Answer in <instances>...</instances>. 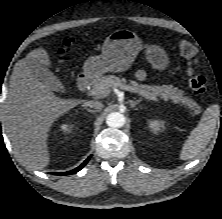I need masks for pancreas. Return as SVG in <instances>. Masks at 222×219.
<instances>
[{"label":"pancreas","mask_w":222,"mask_h":219,"mask_svg":"<svg viewBox=\"0 0 222 219\" xmlns=\"http://www.w3.org/2000/svg\"><path fill=\"white\" fill-rule=\"evenodd\" d=\"M126 79L119 78L114 75L103 76L99 82H97L92 89V92L97 89H101L105 93H110L111 87H119L120 85H125ZM136 91V93L140 94L142 97L146 99L157 101V97L164 99L165 101L171 100L174 104H180L181 106L190 109L191 115H197L201 112V107L198 106L196 102H194L191 98L184 96V92L178 90L172 85H145L139 84L136 81H130V85ZM97 97H104L103 94L96 93Z\"/></svg>","instance_id":"cf45deb5"}]
</instances>
